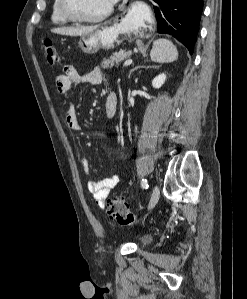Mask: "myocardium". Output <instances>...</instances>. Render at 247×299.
<instances>
[{
	"label": "myocardium",
	"instance_id": "1",
	"mask_svg": "<svg viewBox=\"0 0 247 299\" xmlns=\"http://www.w3.org/2000/svg\"><path fill=\"white\" fill-rule=\"evenodd\" d=\"M114 3L101 14L93 17L80 16L74 13L70 8L69 0H59V8L62 15L69 21L78 22V23H97L105 20L110 16L113 11Z\"/></svg>",
	"mask_w": 247,
	"mask_h": 299
}]
</instances>
